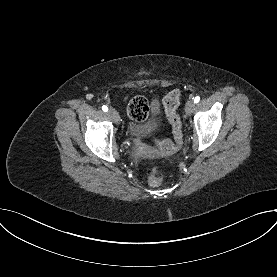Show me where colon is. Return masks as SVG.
I'll return each mask as SVG.
<instances>
[{
    "instance_id": "1",
    "label": "colon",
    "mask_w": 277,
    "mask_h": 277,
    "mask_svg": "<svg viewBox=\"0 0 277 277\" xmlns=\"http://www.w3.org/2000/svg\"><path fill=\"white\" fill-rule=\"evenodd\" d=\"M180 100V91L173 90L169 92L163 99V106L166 112V115L172 125L173 135L175 142L170 140H158L157 144L160 147L161 151L165 155H172L177 146L182 142V124L181 120L176 113L177 107ZM127 112L130 118L135 121H144L149 115V108L147 101L140 96L131 98L127 103ZM141 153L145 154V148L143 145L139 146ZM164 180V171L159 166H154L149 169L147 173V182L151 186H158Z\"/></svg>"
}]
</instances>
